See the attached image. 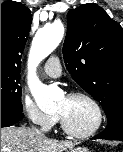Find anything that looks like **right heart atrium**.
<instances>
[{
	"mask_svg": "<svg viewBox=\"0 0 123 152\" xmlns=\"http://www.w3.org/2000/svg\"><path fill=\"white\" fill-rule=\"evenodd\" d=\"M21 106L24 114L34 125L50 129L57 122V116L43 112L29 96H23Z\"/></svg>",
	"mask_w": 123,
	"mask_h": 152,
	"instance_id": "right-heart-atrium-1",
	"label": "right heart atrium"
}]
</instances>
